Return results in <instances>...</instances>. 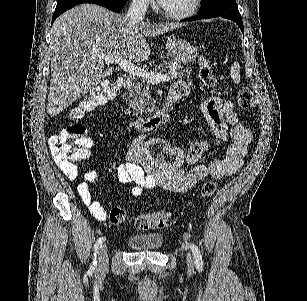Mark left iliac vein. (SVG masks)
Listing matches in <instances>:
<instances>
[{
  "mask_svg": "<svg viewBox=\"0 0 307 301\" xmlns=\"http://www.w3.org/2000/svg\"><path fill=\"white\" fill-rule=\"evenodd\" d=\"M186 260H187V263H188L189 266H192V265H193L192 256H191L190 253H188V254L186 255Z\"/></svg>",
  "mask_w": 307,
  "mask_h": 301,
  "instance_id": "left-iliac-vein-1",
  "label": "left iliac vein"
}]
</instances>
